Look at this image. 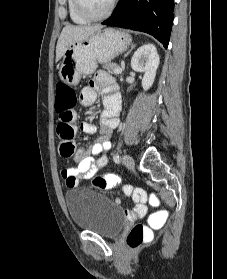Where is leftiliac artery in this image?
<instances>
[{
    "mask_svg": "<svg viewBox=\"0 0 227 279\" xmlns=\"http://www.w3.org/2000/svg\"><path fill=\"white\" fill-rule=\"evenodd\" d=\"M120 159H121V157H120L119 154H116V155H114V157H113V160H114L115 163H120Z\"/></svg>",
    "mask_w": 227,
    "mask_h": 279,
    "instance_id": "44dca946",
    "label": "left iliac artery"
}]
</instances>
